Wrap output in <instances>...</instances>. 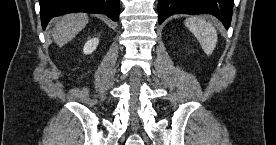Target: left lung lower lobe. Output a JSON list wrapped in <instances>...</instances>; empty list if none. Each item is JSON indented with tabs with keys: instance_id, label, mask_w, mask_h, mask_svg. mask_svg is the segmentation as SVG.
Listing matches in <instances>:
<instances>
[{
	"instance_id": "left-lung-lower-lobe-1",
	"label": "left lung lower lobe",
	"mask_w": 276,
	"mask_h": 145,
	"mask_svg": "<svg viewBox=\"0 0 276 145\" xmlns=\"http://www.w3.org/2000/svg\"><path fill=\"white\" fill-rule=\"evenodd\" d=\"M233 0H158V17L161 24L174 14H203L216 16L229 28L232 18Z\"/></svg>"
}]
</instances>
